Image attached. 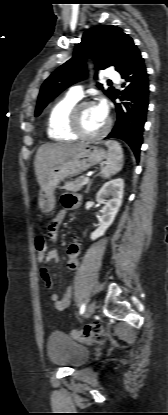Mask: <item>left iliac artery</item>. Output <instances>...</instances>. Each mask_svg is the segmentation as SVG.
<instances>
[{
	"label": "left iliac artery",
	"mask_w": 168,
	"mask_h": 415,
	"mask_svg": "<svg viewBox=\"0 0 168 415\" xmlns=\"http://www.w3.org/2000/svg\"><path fill=\"white\" fill-rule=\"evenodd\" d=\"M85 304L83 303L82 305H81V307H80V314H83L84 313V311H85Z\"/></svg>",
	"instance_id": "1"
}]
</instances>
